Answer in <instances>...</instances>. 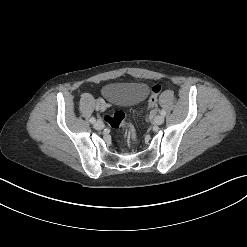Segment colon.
<instances>
[{
  "instance_id": "colon-1",
  "label": "colon",
  "mask_w": 247,
  "mask_h": 247,
  "mask_svg": "<svg viewBox=\"0 0 247 247\" xmlns=\"http://www.w3.org/2000/svg\"><path fill=\"white\" fill-rule=\"evenodd\" d=\"M160 91H161L160 85L156 84L150 87L151 95H150L149 104H148V108L150 110L155 107ZM105 121L108 125H110L113 128H124L129 134V136L132 139H135L136 137L135 130L133 126L126 121L125 114L123 112L118 111L113 114L106 115Z\"/></svg>"
}]
</instances>
